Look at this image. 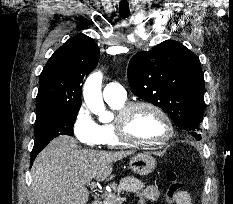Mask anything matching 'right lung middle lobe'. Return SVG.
I'll return each instance as SVG.
<instances>
[{"instance_id": "right-lung-middle-lobe-1", "label": "right lung middle lobe", "mask_w": 233, "mask_h": 204, "mask_svg": "<svg viewBox=\"0 0 233 204\" xmlns=\"http://www.w3.org/2000/svg\"><path fill=\"white\" fill-rule=\"evenodd\" d=\"M78 111L79 108L38 114L34 127V146L45 147L49 141L59 135H72Z\"/></svg>"}]
</instances>
